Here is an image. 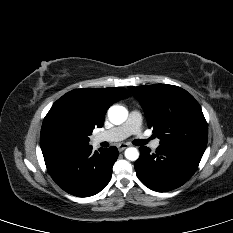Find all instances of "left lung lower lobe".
<instances>
[{"instance_id": "obj_1", "label": "left lung lower lobe", "mask_w": 233, "mask_h": 233, "mask_svg": "<svg viewBox=\"0 0 233 233\" xmlns=\"http://www.w3.org/2000/svg\"><path fill=\"white\" fill-rule=\"evenodd\" d=\"M206 147L199 145L158 146L156 153L140 147L135 170L140 181L157 192L176 189L195 173Z\"/></svg>"}]
</instances>
